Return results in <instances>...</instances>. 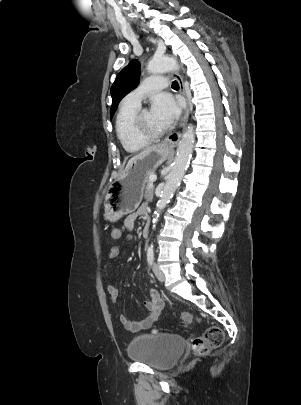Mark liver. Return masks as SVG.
<instances>
[{"label": "liver", "mask_w": 301, "mask_h": 405, "mask_svg": "<svg viewBox=\"0 0 301 405\" xmlns=\"http://www.w3.org/2000/svg\"><path fill=\"white\" fill-rule=\"evenodd\" d=\"M159 145H154V146H150L148 148H146L145 150H143L142 152H140L139 154L133 156L129 161L128 164L125 168V170L132 164L133 161H135L136 159L142 157L143 155L147 154L148 152H150L151 150L157 148Z\"/></svg>", "instance_id": "obj_1"}]
</instances>
